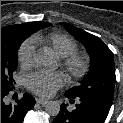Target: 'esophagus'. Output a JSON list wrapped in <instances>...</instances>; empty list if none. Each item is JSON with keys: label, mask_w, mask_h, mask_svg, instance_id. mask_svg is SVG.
<instances>
[{"label": "esophagus", "mask_w": 123, "mask_h": 123, "mask_svg": "<svg viewBox=\"0 0 123 123\" xmlns=\"http://www.w3.org/2000/svg\"><path fill=\"white\" fill-rule=\"evenodd\" d=\"M36 102H37L38 104H41V105H45V104L47 103L46 100L40 99V98H37V99H36Z\"/></svg>", "instance_id": "1"}]
</instances>
